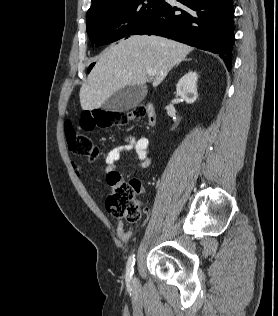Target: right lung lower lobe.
I'll return each instance as SVG.
<instances>
[{
  "label": "right lung lower lobe",
  "instance_id": "98d812e1",
  "mask_svg": "<svg viewBox=\"0 0 278 316\" xmlns=\"http://www.w3.org/2000/svg\"><path fill=\"white\" fill-rule=\"evenodd\" d=\"M163 1L131 35H158L219 54L228 70L234 45L232 0Z\"/></svg>",
  "mask_w": 278,
  "mask_h": 316
}]
</instances>
